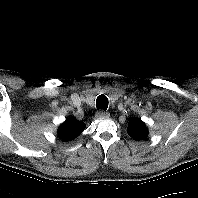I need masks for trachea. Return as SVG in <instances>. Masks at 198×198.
<instances>
[{"mask_svg": "<svg viewBox=\"0 0 198 198\" xmlns=\"http://www.w3.org/2000/svg\"><path fill=\"white\" fill-rule=\"evenodd\" d=\"M108 98L105 95H99L96 99V107L97 109H101L103 111H106L108 108Z\"/></svg>", "mask_w": 198, "mask_h": 198, "instance_id": "1", "label": "trachea"}]
</instances>
